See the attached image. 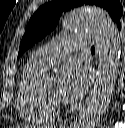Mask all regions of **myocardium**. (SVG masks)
Returning <instances> with one entry per match:
<instances>
[{
  "label": "myocardium",
  "instance_id": "obj_1",
  "mask_svg": "<svg viewBox=\"0 0 125 128\" xmlns=\"http://www.w3.org/2000/svg\"><path fill=\"white\" fill-rule=\"evenodd\" d=\"M39 94L43 104L52 113H59L63 109V104L59 100L48 96L43 90L42 86H39Z\"/></svg>",
  "mask_w": 125,
  "mask_h": 128
}]
</instances>
